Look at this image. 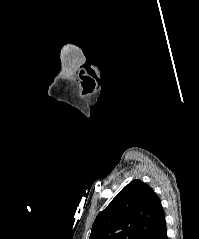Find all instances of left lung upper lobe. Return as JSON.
I'll return each mask as SVG.
<instances>
[{
	"label": "left lung upper lobe",
	"mask_w": 199,
	"mask_h": 239,
	"mask_svg": "<svg viewBox=\"0 0 199 239\" xmlns=\"http://www.w3.org/2000/svg\"><path fill=\"white\" fill-rule=\"evenodd\" d=\"M162 214L153 189L133 180L96 217L89 239H148Z\"/></svg>",
	"instance_id": "obj_1"
}]
</instances>
